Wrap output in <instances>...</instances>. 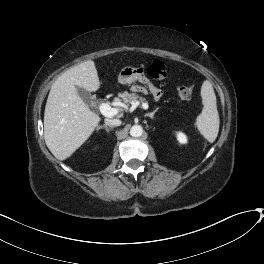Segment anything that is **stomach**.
Segmentation results:
<instances>
[{"label": "stomach", "mask_w": 264, "mask_h": 264, "mask_svg": "<svg viewBox=\"0 0 264 264\" xmlns=\"http://www.w3.org/2000/svg\"><path fill=\"white\" fill-rule=\"evenodd\" d=\"M142 78L143 74L142 71H140V68L126 66L121 69L118 76V82L122 85H130L136 82L137 80H141ZM132 89H134L133 86Z\"/></svg>", "instance_id": "0dacf381"}]
</instances>
